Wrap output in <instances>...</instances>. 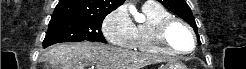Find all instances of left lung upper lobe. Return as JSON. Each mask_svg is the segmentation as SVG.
Masks as SVG:
<instances>
[{"label":"left lung upper lobe","instance_id":"obj_1","mask_svg":"<svg viewBox=\"0 0 246 69\" xmlns=\"http://www.w3.org/2000/svg\"><path fill=\"white\" fill-rule=\"evenodd\" d=\"M164 7L169 9L171 12L176 14L185 20L194 29L195 33L198 35V28L195 23V19L191 12L190 7L184 0H158ZM198 43L201 44L199 36L197 37Z\"/></svg>","mask_w":246,"mask_h":69}]
</instances>
